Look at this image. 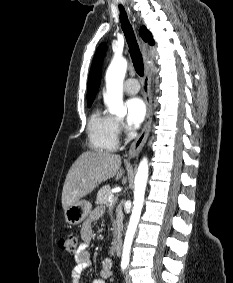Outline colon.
I'll return each mask as SVG.
<instances>
[{"label":"colon","mask_w":233,"mask_h":283,"mask_svg":"<svg viewBox=\"0 0 233 283\" xmlns=\"http://www.w3.org/2000/svg\"><path fill=\"white\" fill-rule=\"evenodd\" d=\"M59 248L69 253H76L78 249V237L74 233H70L62 237L58 241Z\"/></svg>","instance_id":"obj_1"}]
</instances>
